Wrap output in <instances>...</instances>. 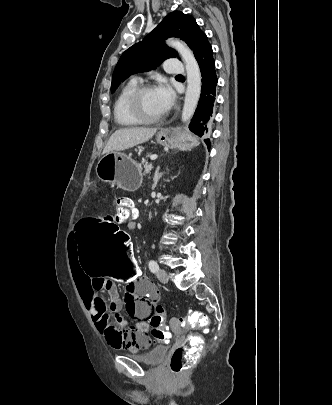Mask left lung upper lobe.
Here are the masks:
<instances>
[{"instance_id": "obj_1", "label": "left lung upper lobe", "mask_w": 332, "mask_h": 405, "mask_svg": "<svg viewBox=\"0 0 332 405\" xmlns=\"http://www.w3.org/2000/svg\"><path fill=\"white\" fill-rule=\"evenodd\" d=\"M169 37L184 40L193 50L196 59L209 44L206 34L202 32L191 15L174 11L168 14L142 41L122 54L113 73L111 92L113 93L130 75L155 69L165 59L177 57V52L164 43V40Z\"/></svg>"}]
</instances>
